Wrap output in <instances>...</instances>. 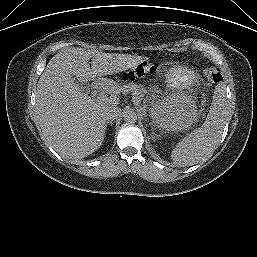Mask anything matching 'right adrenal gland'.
Returning <instances> with one entry per match:
<instances>
[{"label": "right adrenal gland", "mask_w": 257, "mask_h": 257, "mask_svg": "<svg viewBox=\"0 0 257 257\" xmlns=\"http://www.w3.org/2000/svg\"><path fill=\"white\" fill-rule=\"evenodd\" d=\"M108 124H109L110 126H112V125H113V120H112V121H108V122L106 123V126H105L106 129H107Z\"/></svg>", "instance_id": "1"}]
</instances>
